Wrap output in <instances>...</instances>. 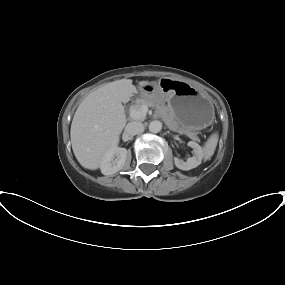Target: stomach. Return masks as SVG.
Masks as SVG:
<instances>
[{
  "label": "stomach",
  "mask_w": 285,
  "mask_h": 285,
  "mask_svg": "<svg viewBox=\"0 0 285 285\" xmlns=\"http://www.w3.org/2000/svg\"><path fill=\"white\" fill-rule=\"evenodd\" d=\"M143 98L166 101L168 108L182 129L197 131L214 120V107L204 94L193 86L171 78H161L140 88Z\"/></svg>",
  "instance_id": "0dacf381"
}]
</instances>
